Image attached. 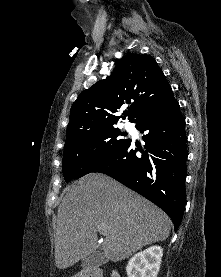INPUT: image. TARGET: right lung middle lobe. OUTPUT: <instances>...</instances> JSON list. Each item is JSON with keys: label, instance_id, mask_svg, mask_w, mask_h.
<instances>
[{"label": "right lung middle lobe", "instance_id": "right-lung-middle-lobe-1", "mask_svg": "<svg viewBox=\"0 0 221 277\" xmlns=\"http://www.w3.org/2000/svg\"><path fill=\"white\" fill-rule=\"evenodd\" d=\"M120 135L123 133L119 129L109 125L85 130L67 139L62 162L65 181L92 172L96 165L129 140L119 139Z\"/></svg>", "mask_w": 221, "mask_h": 277}]
</instances>
